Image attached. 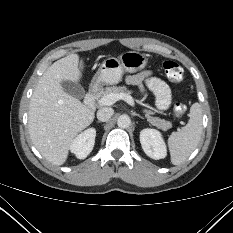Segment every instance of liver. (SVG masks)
<instances>
[{
    "label": "liver",
    "mask_w": 233,
    "mask_h": 233,
    "mask_svg": "<svg viewBox=\"0 0 233 233\" xmlns=\"http://www.w3.org/2000/svg\"><path fill=\"white\" fill-rule=\"evenodd\" d=\"M84 62L70 54L54 62L39 79L29 104L28 127L32 143L54 165L67 160L74 137L94 120V111L66 93L63 81L78 82Z\"/></svg>",
    "instance_id": "1"
}]
</instances>
